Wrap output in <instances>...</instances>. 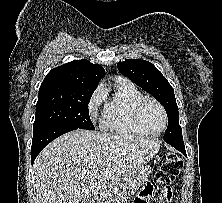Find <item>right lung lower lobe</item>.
Listing matches in <instances>:
<instances>
[{"label":"right lung lower lobe","instance_id":"1","mask_svg":"<svg viewBox=\"0 0 222 203\" xmlns=\"http://www.w3.org/2000/svg\"><path fill=\"white\" fill-rule=\"evenodd\" d=\"M75 129L78 128L71 125H58L33 132V142L31 147L32 164L41 150L52 140Z\"/></svg>","mask_w":222,"mask_h":203}]
</instances>
